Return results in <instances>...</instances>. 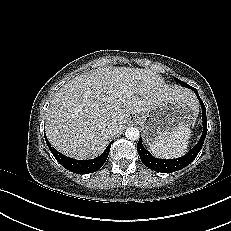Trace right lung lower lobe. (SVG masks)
Here are the masks:
<instances>
[{
    "instance_id": "obj_1",
    "label": "right lung lower lobe",
    "mask_w": 231,
    "mask_h": 231,
    "mask_svg": "<svg viewBox=\"0 0 231 231\" xmlns=\"http://www.w3.org/2000/svg\"><path fill=\"white\" fill-rule=\"evenodd\" d=\"M44 136H45L46 143H47L51 153L55 157V159L64 168H66L67 170H69L73 173H77V174H88V173H93V172L99 170L102 167V165L105 163V161L108 157L110 148H111V144L113 143V141H112L107 146L105 151L97 158H94L91 160H76V159H72L70 157H67V156L59 153L58 151H56V149L51 147V144L47 140L46 135H44Z\"/></svg>"
}]
</instances>
